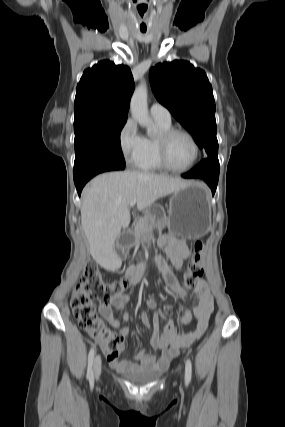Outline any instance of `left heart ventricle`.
Masks as SVG:
<instances>
[{
    "label": "left heart ventricle",
    "instance_id": "b2bd125f",
    "mask_svg": "<svg viewBox=\"0 0 285 427\" xmlns=\"http://www.w3.org/2000/svg\"><path fill=\"white\" fill-rule=\"evenodd\" d=\"M194 156V147L184 135L174 136L168 145V160L176 168L188 166Z\"/></svg>",
    "mask_w": 285,
    "mask_h": 427
}]
</instances>
